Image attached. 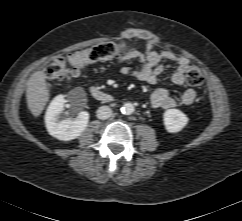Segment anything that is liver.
<instances>
[{"label": "liver", "instance_id": "1", "mask_svg": "<svg viewBox=\"0 0 242 221\" xmlns=\"http://www.w3.org/2000/svg\"><path fill=\"white\" fill-rule=\"evenodd\" d=\"M44 71L34 72L27 82L26 99L31 113L38 117L44 110L50 96V84Z\"/></svg>", "mask_w": 242, "mask_h": 221}]
</instances>
